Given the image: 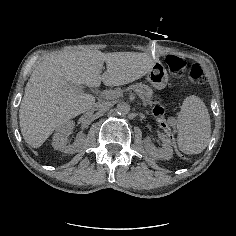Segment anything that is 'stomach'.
I'll use <instances>...</instances> for the list:
<instances>
[{
    "label": "stomach",
    "instance_id": "stomach-1",
    "mask_svg": "<svg viewBox=\"0 0 236 236\" xmlns=\"http://www.w3.org/2000/svg\"><path fill=\"white\" fill-rule=\"evenodd\" d=\"M147 80L156 89H163L168 82V74L161 64H156L147 75Z\"/></svg>",
    "mask_w": 236,
    "mask_h": 236
}]
</instances>
